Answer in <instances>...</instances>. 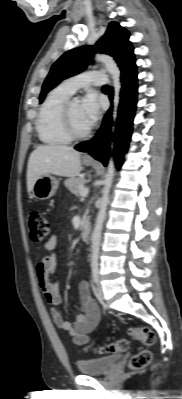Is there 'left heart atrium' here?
Listing matches in <instances>:
<instances>
[{
    "label": "left heart atrium",
    "instance_id": "39dd6f15",
    "mask_svg": "<svg viewBox=\"0 0 182 399\" xmlns=\"http://www.w3.org/2000/svg\"><path fill=\"white\" fill-rule=\"evenodd\" d=\"M100 100L94 93H88L81 103V114L90 128L100 116Z\"/></svg>",
    "mask_w": 182,
    "mask_h": 399
}]
</instances>
